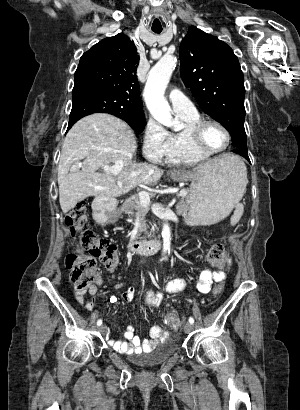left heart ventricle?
I'll return each instance as SVG.
<instances>
[{"label": "left heart ventricle", "mask_w": 300, "mask_h": 410, "mask_svg": "<svg viewBox=\"0 0 300 410\" xmlns=\"http://www.w3.org/2000/svg\"><path fill=\"white\" fill-rule=\"evenodd\" d=\"M203 141L210 149H220L226 144L227 138L220 127L209 124L203 130Z\"/></svg>", "instance_id": "b2bd125f"}]
</instances>
